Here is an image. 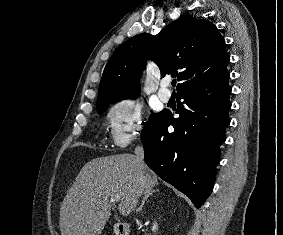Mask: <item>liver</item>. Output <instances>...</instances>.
Here are the masks:
<instances>
[{
    "mask_svg": "<svg viewBox=\"0 0 283 235\" xmlns=\"http://www.w3.org/2000/svg\"><path fill=\"white\" fill-rule=\"evenodd\" d=\"M158 184L146 165L140 168L132 154L93 159L86 163L60 208L61 235H100L110 217L109 196H120L119 212L128 216L138 198Z\"/></svg>",
    "mask_w": 283,
    "mask_h": 235,
    "instance_id": "liver-1",
    "label": "liver"
}]
</instances>
